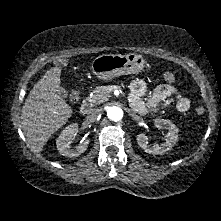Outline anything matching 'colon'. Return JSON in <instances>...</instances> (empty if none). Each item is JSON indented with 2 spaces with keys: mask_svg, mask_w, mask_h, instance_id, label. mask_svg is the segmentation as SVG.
I'll return each mask as SVG.
<instances>
[{
  "mask_svg": "<svg viewBox=\"0 0 221 221\" xmlns=\"http://www.w3.org/2000/svg\"><path fill=\"white\" fill-rule=\"evenodd\" d=\"M163 78L167 82H173L175 80L174 74H172L170 72L164 73ZM70 98L72 101H77L79 99V93L77 91H72L70 94ZM195 112L198 115H202L204 113V108L202 106H197L195 108Z\"/></svg>",
  "mask_w": 221,
  "mask_h": 221,
  "instance_id": "1",
  "label": "colon"
}]
</instances>
